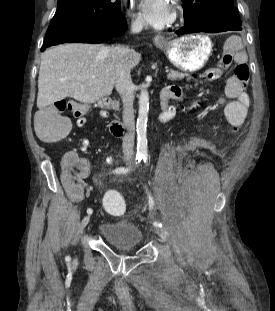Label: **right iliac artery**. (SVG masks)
Segmentation results:
<instances>
[{"label": "right iliac artery", "mask_w": 275, "mask_h": 311, "mask_svg": "<svg viewBox=\"0 0 275 311\" xmlns=\"http://www.w3.org/2000/svg\"><path fill=\"white\" fill-rule=\"evenodd\" d=\"M143 158V154L141 153H137L136 154V158H135V164H138ZM130 170V167H120V168H117L115 170L112 171V173H115V174H125L127 173L128 171ZM93 210L91 208H88L87 209V213L88 214H92ZM66 259L68 260L69 257H66Z\"/></svg>", "instance_id": "82829eb1"}]
</instances>
